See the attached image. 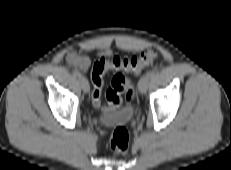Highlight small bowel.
Returning a JSON list of instances; mask_svg holds the SVG:
<instances>
[{"label":"small bowel","instance_id":"obj_1","mask_svg":"<svg viewBox=\"0 0 231 170\" xmlns=\"http://www.w3.org/2000/svg\"><path fill=\"white\" fill-rule=\"evenodd\" d=\"M110 49H105L103 51V54L106 56L111 55ZM66 61L70 65L74 66L81 72H86L91 64L90 58L87 54L84 52H78V51H71L66 55Z\"/></svg>","mask_w":231,"mask_h":170}]
</instances>
